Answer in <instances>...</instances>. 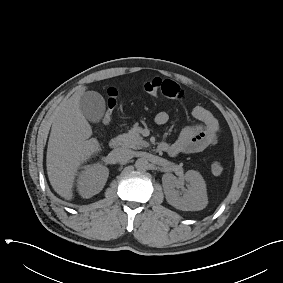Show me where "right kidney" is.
<instances>
[{
	"label": "right kidney",
	"instance_id": "obj_1",
	"mask_svg": "<svg viewBox=\"0 0 283 283\" xmlns=\"http://www.w3.org/2000/svg\"><path fill=\"white\" fill-rule=\"evenodd\" d=\"M108 176L109 170L103 165L85 166L77 182L80 195L83 198H90L98 194L103 189Z\"/></svg>",
	"mask_w": 283,
	"mask_h": 283
}]
</instances>
